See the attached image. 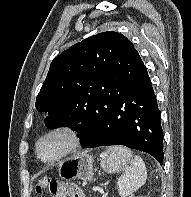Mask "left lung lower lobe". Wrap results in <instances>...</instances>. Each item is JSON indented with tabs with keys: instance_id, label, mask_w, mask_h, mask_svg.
I'll return each instance as SVG.
<instances>
[{
	"instance_id": "left-lung-lower-lobe-1",
	"label": "left lung lower lobe",
	"mask_w": 191,
	"mask_h": 197,
	"mask_svg": "<svg viewBox=\"0 0 191 197\" xmlns=\"http://www.w3.org/2000/svg\"><path fill=\"white\" fill-rule=\"evenodd\" d=\"M78 134L85 148L124 145L163 164L160 110L146 68L123 77L115 91L83 119Z\"/></svg>"
}]
</instances>
